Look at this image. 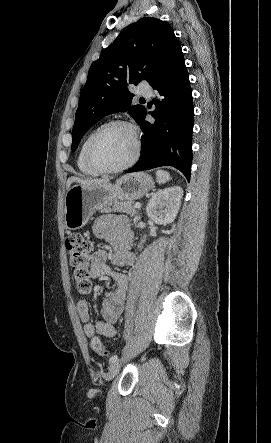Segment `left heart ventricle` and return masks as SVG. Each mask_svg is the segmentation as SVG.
<instances>
[{
	"mask_svg": "<svg viewBox=\"0 0 271 443\" xmlns=\"http://www.w3.org/2000/svg\"><path fill=\"white\" fill-rule=\"evenodd\" d=\"M134 150L130 131L121 126L108 129L93 148L95 160L106 167H116L125 163Z\"/></svg>",
	"mask_w": 271,
	"mask_h": 443,
	"instance_id": "b2bd125f",
	"label": "left heart ventricle"
}]
</instances>
